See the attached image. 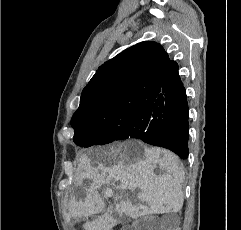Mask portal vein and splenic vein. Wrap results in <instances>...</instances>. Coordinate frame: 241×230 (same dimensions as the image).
Returning <instances> with one entry per match:
<instances>
[{
	"mask_svg": "<svg viewBox=\"0 0 241 230\" xmlns=\"http://www.w3.org/2000/svg\"><path fill=\"white\" fill-rule=\"evenodd\" d=\"M107 196H108V197H110V196H111V194L109 193V194H107Z\"/></svg>",
	"mask_w": 241,
	"mask_h": 230,
	"instance_id": "obj_1",
	"label": "portal vein and splenic vein"
}]
</instances>
